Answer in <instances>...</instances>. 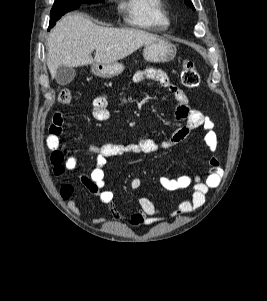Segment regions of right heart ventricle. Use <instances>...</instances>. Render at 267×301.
<instances>
[{
  "label": "right heart ventricle",
  "instance_id": "right-heart-ventricle-1",
  "mask_svg": "<svg viewBox=\"0 0 267 301\" xmlns=\"http://www.w3.org/2000/svg\"><path fill=\"white\" fill-rule=\"evenodd\" d=\"M129 24L146 29H165L170 19L163 0H125L121 4Z\"/></svg>",
  "mask_w": 267,
  "mask_h": 301
}]
</instances>
